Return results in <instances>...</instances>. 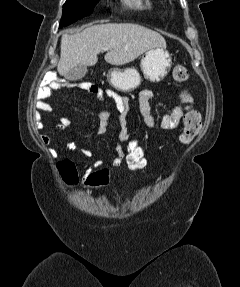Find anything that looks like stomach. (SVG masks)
Masks as SVG:
<instances>
[{
	"instance_id": "1",
	"label": "stomach",
	"mask_w": 240,
	"mask_h": 287,
	"mask_svg": "<svg viewBox=\"0 0 240 287\" xmlns=\"http://www.w3.org/2000/svg\"><path fill=\"white\" fill-rule=\"evenodd\" d=\"M172 58L165 47H154L147 50L141 60V70L145 79L150 82H160L171 69ZM109 83L124 92L137 88L141 83V76L135 68H112L107 74Z\"/></svg>"
}]
</instances>
